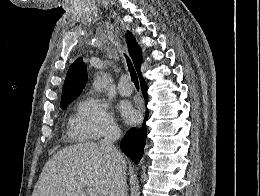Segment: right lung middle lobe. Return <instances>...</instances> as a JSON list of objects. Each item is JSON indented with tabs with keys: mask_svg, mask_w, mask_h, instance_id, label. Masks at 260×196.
Here are the masks:
<instances>
[{
	"mask_svg": "<svg viewBox=\"0 0 260 196\" xmlns=\"http://www.w3.org/2000/svg\"><path fill=\"white\" fill-rule=\"evenodd\" d=\"M67 106L62 107V109H66Z\"/></svg>",
	"mask_w": 260,
	"mask_h": 196,
	"instance_id": "obj_1",
	"label": "right lung middle lobe"
}]
</instances>
